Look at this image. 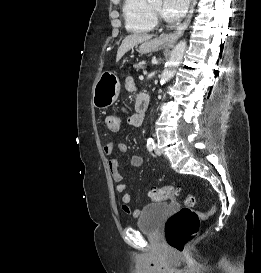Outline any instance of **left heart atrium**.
I'll use <instances>...</instances> for the list:
<instances>
[{
	"mask_svg": "<svg viewBox=\"0 0 261 273\" xmlns=\"http://www.w3.org/2000/svg\"><path fill=\"white\" fill-rule=\"evenodd\" d=\"M189 0H164L162 13L170 21H176L183 17L188 7Z\"/></svg>",
	"mask_w": 261,
	"mask_h": 273,
	"instance_id": "1",
	"label": "left heart atrium"
}]
</instances>
